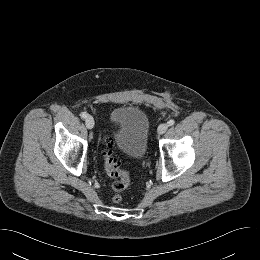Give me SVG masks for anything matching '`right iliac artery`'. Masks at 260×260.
<instances>
[{"mask_svg":"<svg viewBox=\"0 0 260 260\" xmlns=\"http://www.w3.org/2000/svg\"><path fill=\"white\" fill-rule=\"evenodd\" d=\"M81 118L86 119L87 118V114L86 113H82L81 114Z\"/></svg>","mask_w":260,"mask_h":260,"instance_id":"1","label":"right iliac artery"}]
</instances>
